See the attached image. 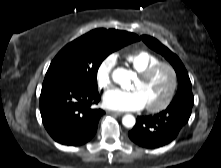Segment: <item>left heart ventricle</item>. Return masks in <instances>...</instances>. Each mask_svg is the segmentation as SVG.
Returning a JSON list of instances; mask_svg holds the SVG:
<instances>
[{"instance_id": "obj_1", "label": "left heart ventricle", "mask_w": 221, "mask_h": 168, "mask_svg": "<svg viewBox=\"0 0 221 168\" xmlns=\"http://www.w3.org/2000/svg\"><path fill=\"white\" fill-rule=\"evenodd\" d=\"M171 85V75L168 69H159L146 81L138 77L133 84V89L140 91L146 105H156L164 100Z\"/></svg>"}]
</instances>
